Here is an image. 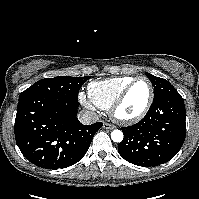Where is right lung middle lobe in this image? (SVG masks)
<instances>
[{
	"label": "right lung middle lobe",
	"instance_id": "1",
	"mask_svg": "<svg viewBox=\"0 0 199 199\" xmlns=\"http://www.w3.org/2000/svg\"><path fill=\"white\" fill-rule=\"evenodd\" d=\"M89 78L90 76H58L55 78L41 79L23 91L20 94V98L30 94L43 93L78 100L80 87Z\"/></svg>",
	"mask_w": 199,
	"mask_h": 199
}]
</instances>
